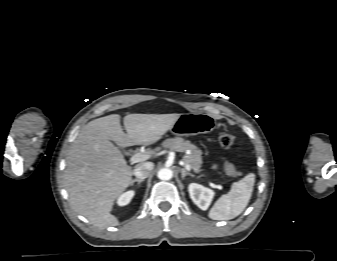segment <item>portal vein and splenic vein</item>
<instances>
[{
	"label": "portal vein and splenic vein",
	"mask_w": 337,
	"mask_h": 261,
	"mask_svg": "<svg viewBox=\"0 0 337 261\" xmlns=\"http://www.w3.org/2000/svg\"><path fill=\"white\" fill-rule=\"evenodd\" d=\"M149 157L150 155H148L147 153H136L130 158V161L132 163H138L147 160ZM184 166L186 170H191V166L189 164H185Z\"/></svg>",
	"instance_id": "obj_1"
}]
</instances>
